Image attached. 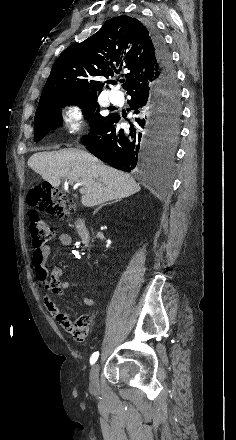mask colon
<instances>
[{"label":"colon","instance_id":"obj_1","mask_svg":"<svg viewBox=\"0 0 236 440\" xmlns=\"http://www.w3.org/2000/svg\"><path fill=\"white\" fill-rule=\"evenodd\" d=\"M27 202L30 206V237L32 245L40 247L54 237L53 227L45 220L41 212H47L63 217L75 211V205L60 190L53 188L49 183H41L31 189ZM62 321H69L67 319ZM80 321V320H77Z\"/></svg>","mask_w":236,"mask_h":440}]
</instances>
